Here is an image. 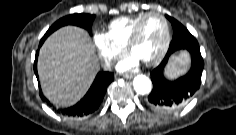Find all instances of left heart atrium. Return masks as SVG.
Instances as JSON below:
<instances>
[{
    "label": "left heart atrium",
    "instance_id": "39dd6f15",
    "mask_svg": "<svg viewBox=\"0 0 236 135\" xmlns=\"http://www.w3.org/2000/svg\"><path fill=\"white\" fill-rule=\"evenodd\" d=\"M140 60L134 55H129L123 58L118 64L117 69L119 71H129L136 68L139 64Z\"/></svg>",
    "mask_w": 236,
    "mask_h": 135
}]
</instances>
